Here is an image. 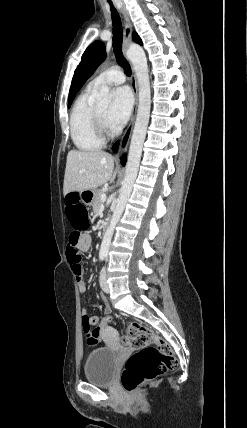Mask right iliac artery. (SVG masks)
Segmentation results:
<instances>
[{
  "mask_svg": "<svg viewBox=\"0 0 247 428\" xmlns=\"http://www.w3.org/2000/svg\"><path fill=\"white\" fill-rule=\"evenodd\" d=\"M103 259H104V257H103V256H101V257H100V260L102 261Z\"/></svg>",
  "mask_w": 247,
  "mask_h": 428,
  "instance_id": "obj_1",
  "label": "right iliac artery"
}]
</instances>
